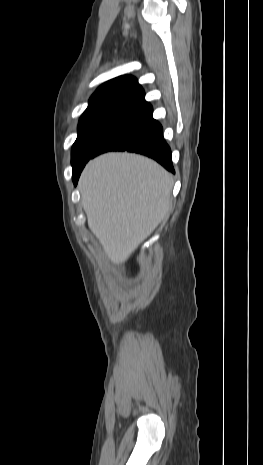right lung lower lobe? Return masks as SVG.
I'll return each mask as SVG.
<instances>
[{"instance_id": "1", "label": "right lung lower lobe", "mask_w": 263, "mask_h": 465, "mask_svg": "<svg viewBox=\"0 0 263 465\" xmlns=\"http://www.w3.org/2000/svg\"><path fill=\"white\" fill-rule=\"evenodd\" d=\"M152 113V106L144 98L141 99L103 138L91 158L108 151L127 150L153 158L174 172L171 150L163 138L161 124L153 119ZM84 166L73 169L75 185Z\"/></svg>"}]
</instances>
